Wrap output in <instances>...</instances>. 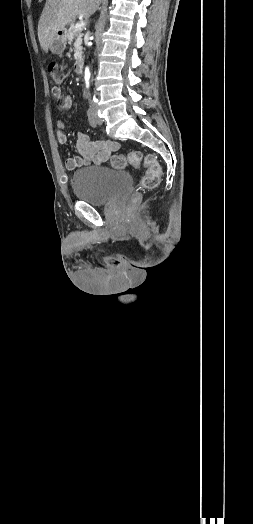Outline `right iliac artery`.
<instances>
[{"label":"right iliac artery","instance_id":"obj_1","mask_svg":"<svg viewBox=\"0 0 253 524\" xmlns=\"http://www.w3.org/2000/svg\"><path fill=\"white\" fill-rule=\"evenodd\" d=\"M87 116H88V121H89V124L92 126V127H96L97 126V121H96V118H95V114L93 112L92 109H88L87 111Z\"/></svg>","mask_w":253,"mask_h":524}]
</instances>
